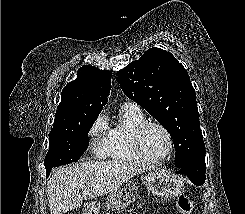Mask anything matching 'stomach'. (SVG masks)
Wrapping results in <instances>:
<instances>
[{
	"instance_id": "stomach-1",
	"label": "stomach",
	"mask_w": 245,
	"mask_h": 214,
	"mask_svg": "<svg viewBox=\"0 0 245 214\" xmlns=\"http://www.w3.org/2000/svg\"><path fill=\"white\" fill-rule=\"evenodd\" d=\"M143 183L148 191L164 199L176 198L182 194L184 184L181 179L163 171H155L143 178ZM138 196L137 186L131 182H125L121 187L113 190L107 197L106 205L110 210H121L131 205ZM98 205L86 203V214H98Z\"/></svg>"
}]
</instances>
